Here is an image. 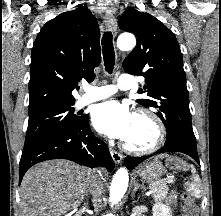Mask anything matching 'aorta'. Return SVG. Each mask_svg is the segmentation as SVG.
I'll use <instances>...</instances> for the list:
<instances>
[{
    "instance_id": "762f6f07",
    "label": "aorta",
    "mask_w": 221,
    "mask_h": 216,
    "mask_svg": "<svg viewBox=\"0 0 221 216\" xmlns=\"http://www.w3.org/2000/svg\"><path fill=\"white\" fill-rule=\"evenodd\" d=\"M136 45V39L132 34H121L117 39V46L121 51H130ZM129 182L128 171L126 168H120L113 177L110 186V202L118 203L124 196Z\"/></svg>"
}]
</instances>
